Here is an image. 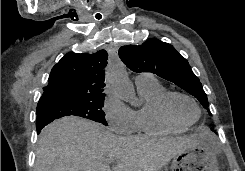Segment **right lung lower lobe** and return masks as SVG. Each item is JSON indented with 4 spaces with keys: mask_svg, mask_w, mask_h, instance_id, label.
<instances>
[{
    "mask_svg": "<svg viewBox=\"0 0 245 171\" xmlns=\"http://www.w3.org/2000/svg\"><path fill=\"white\" fill-rule=\"evenodd\" d=\"M54 119L47 117V116H43V115H39L37 116L36 119V128H37V133L39 134L41 132V130L50 122H52Z\"/></svg>",
    "mask_w": 245,
    "mask_h": 171,
    "instance_id": "98d812e1",
    "label": "right lung lower lobe"
}]
</instances>
